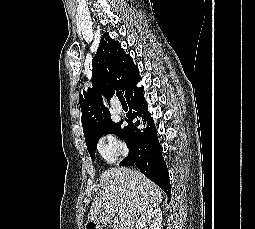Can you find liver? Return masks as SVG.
I'll use <instances>...</instances> for the list:
<instances>
[{
	"instance_id": "1",
	"label": "liver",
	"mask_w": 255,
	"mask_h": 229,
	"mask_svg": "<svg viewBox=\"0 0 255 229\" xmlns=\"http://www.w3.org/2000/svg\"><path fill=\"white\" fill-rule=\"evenodd\" d=\"M99 181L101 189L88 214V220L97 224L111 223L115 212L123 210L118 229H133L140 214L162 201L160 188L139 171L110 168Z\"/></svg>"
}]
</instances>
